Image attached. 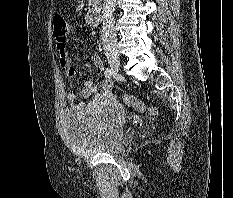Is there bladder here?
<instances>
[{"label":"bladder","instance_id":"obj_1","mask_svg":"<svg viewBox=\"0 0 233 198\" xmlns=\"http://www.w3.org/2000/svg\"><path fill=\"white\" fill-rule=\"evenodd\" d=\"M125 110L119 104L90 114L69 110L64 116V132L69 146L81 153L116 154L127 144Z\"/></svg>","mask_w":233,"mask_h":198}]
</instances>
